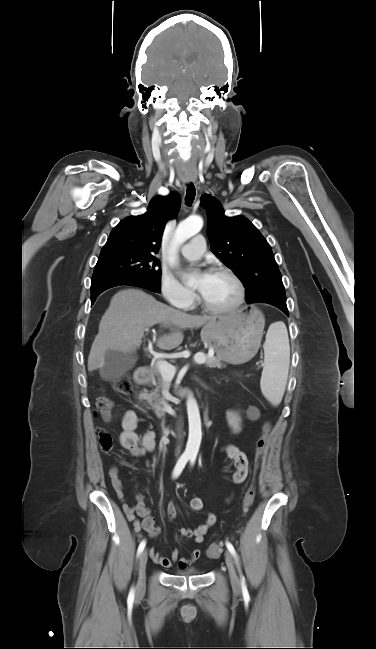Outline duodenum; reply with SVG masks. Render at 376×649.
I'll return each instance as SVG.
<instances>
[{"label": "duodenum", "instance_id": "obj_1", "mask_svg": "<svg viewBox=\"0 0 376 649\" xmlns=\"http://www.w3.org/2000/svg\"><path fill=\"white\" fill-rule=\"evenodd\" d=\"M148 375H149L148 367L143 366V367L138 368L134 373V381H135V383L138 384V385L145 384L147 382ZM187 394H188V391L186 389H180L177 392V395L179 397H184Z\"/></svg>", "mask_w": 376, "mask_h": 649}]
</instances>
